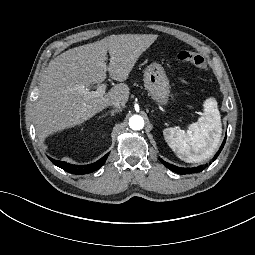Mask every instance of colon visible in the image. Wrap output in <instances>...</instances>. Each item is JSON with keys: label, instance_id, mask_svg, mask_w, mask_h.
Returning <instances> with one entry per match:
<instances>
[{"label": "colon", "instance_id": "1", "mask_svg": "<svg viewBox=\"0 0 255 255\" xmlns=\"http://www.w3.org/2000/svg\"><path fill=\"white\" fill-rule=\"evenodd\" d=\"M177 58L180 61L192 64L194 67H196L200 71L206 70V62L204 58L195 52H192L189 50H180L177 53Z\"/></svg>", "mask_w": 255, "mask_h": 255}]
</instances>
